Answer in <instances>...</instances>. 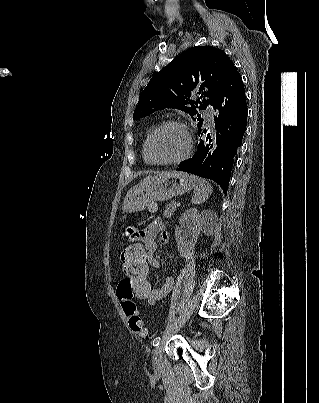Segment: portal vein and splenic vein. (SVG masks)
Here are the masks:
<instances>
[{
  "mask_svg": "<svg viewBox=\"0 0 319 403\" xmlns=\"http://www.w3.org/2000/svg\"><path fill=\"white\" fill-rule=\"evenodd\" d=\"M172 203H173L174 205L178 206V207L180 206V203H179V202L176 203L175 201H173Z\"/></svg>",
  "mask_w": 319,
  "mask_h": 403,
  "instance_id": "obj_1",
  "label": "portal vein and splenic vein"
}]
</instances>
